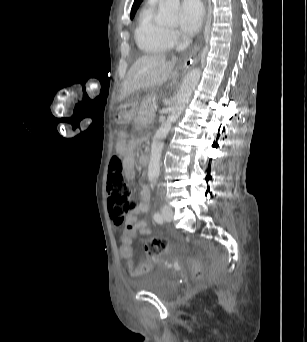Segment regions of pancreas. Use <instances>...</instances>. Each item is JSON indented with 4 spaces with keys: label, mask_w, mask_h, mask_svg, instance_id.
I'll list each match as a JSON object with an SVG mask.
<instances>
[{
    "label": "pancreas",
    "mask_w": 307,
    "mask_h": 342,
    "mask_svg": "<svg viewBox=\"0 0 307 342\" xmlns=\"http://www.w3.org/2000/svg\"><path fill=\"white\" fill-rule=\"evenodd\" d=\"M156 100L154 96H149V98H144L142 100L138 114H140L141 119H147L149 116H154V111L152 110L154 107L156 108Z\"/></svg>",
    "instance_id": "cf45deb5"
}]
</instances>
